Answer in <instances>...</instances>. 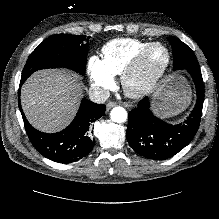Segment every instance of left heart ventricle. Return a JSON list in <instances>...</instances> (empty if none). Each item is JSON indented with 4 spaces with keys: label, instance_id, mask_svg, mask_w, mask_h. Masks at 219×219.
Returning <instances> with one entry per match:
<instances>
[{
    "label": "left heart ventricle",
    "instance_id": "b2bd125f",
    "mask_svg": "<svg viewBox=\"0 0 219 219\" xmlns=\"http://www.w3.org/2000/svg\"><path fill=\"white\" fill-rule=\"evenodd\" d=\"M164 60V53L160 49L154 50L144 62L140 73L137 76L138 80H143L149 76Z\"/></svg>",
    "mask_w": 219,
    "mask_h": 219
}]
</instances>
